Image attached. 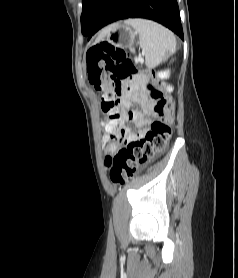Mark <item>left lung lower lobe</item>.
I'll list each match as a JSON object with an SVG mask.
<instances>
[{"mask_svg":"<svg viewBox=\"0 0 238 278\" xmlns=\"http://www.w3.org/2000/svg\"><path fill=\"white\" fill-rule=\"evenodd\" d=\"M103 7L88 33L89 39L102 27L127 18L154 20L183 39L177 0H107Z\"/></svg>","mask_w":238,"mask_h":278,"instance_id":"0a47b994","label":"left lung lower lobe"}]
</instances>
